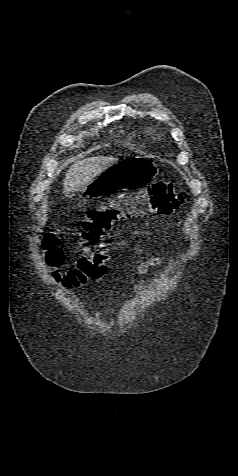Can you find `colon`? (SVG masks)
I'll use <instances>...</instances> for the list:
<instances>
[{
  "label": "colon",
  "mask_w": 238,
  "mask_h": 476,
  "mask_svg": "<svg viewBox=\"0 0 238 476\" xmlns=\"http://www.w3.org/2000/svg\"><path fill=\"white\" fill-rule=\"evenodd\" d=\"M186 201V194L176 189L173 183L160 181L137 192L103 202L90 210L82 222L84 250L76 265L54 276L65 287H78L98 280L106 271L108 260V237L115 224L132 218L168 215ZM46 261L52 268L64 262V253L55 234L43 238Z\"/></svg>",
  "instance_id": "5ec220e1"
}]
</instances>
